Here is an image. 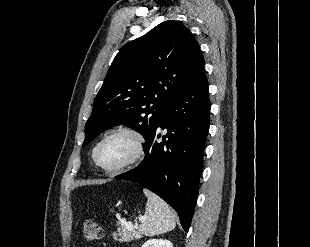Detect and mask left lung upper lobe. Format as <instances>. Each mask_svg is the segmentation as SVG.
<instances>
[{
	"instance_id": "1",
	"label": "left lung upper lobe",
	"mask_w": 310,
	"mask_h": 247,
	"mask_svg": "<svg viewBox=\"0 0 310 247\" xmlns=\"http://www.w3.org/2000/svg\"><path fill=\"white\" fill-rule=\"evenodd\" d=\"M203 66L197 41L175 20L127 43L114 58L94 100L83 145L102 130L122 124L147 141L167 105Z\"/></svg>"
}]
</instances>
